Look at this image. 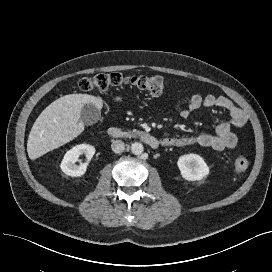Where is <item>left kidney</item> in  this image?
<instances>
[{"label": "left kidney", "mask_w": 272, "mask_h": 272, "mask_svg": "<svg viewBox=\"0 0 272 272\" xmlns=\"http://www.w3.org/2000/svg\"><path fill=\"white\" fill-rule=\"evenodd\" d=\"M178 168L184 179L198 181L209 174V167L203 158L197 154H186L179 157Z\"/></svg>", "instance_id": "obj_1"}]
</instances>
